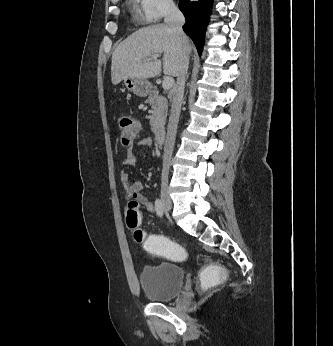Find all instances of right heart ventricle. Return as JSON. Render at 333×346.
<instances>
[{
	"label": "right heart ventricle",
	"mask_w": 333,
	"mask_h": 346,
	"mask_svg": "<svg viewBox=\"0 0 333 346\" xmlns=\"http://www.w3.org/2000/svg\"><path fill=\"white\" fill-rule=\"evenodd\" d=\"M136 0H131V2H135Z\"/></svg>",
	"instance_id": "1"
}]
</instances>
